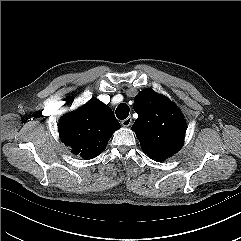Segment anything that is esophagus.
<instances>
[{"label": "esophagus", "mask_w": 241, "mask_h": 241, "mask_svg": "<svg viewBox=\"0 0 241 241\" xmlns=\"http://www.w3.org/2000/svg\"><path fill=\"white\" fill-rule=\"evenodd\" d=\"M131 123H132V118L131 117H128V118H126V119L121 121V125L123 127H129L131 125Z\"/></svg>", "instance_id": "obj_1"}]
</instances>
